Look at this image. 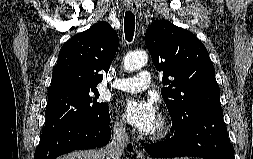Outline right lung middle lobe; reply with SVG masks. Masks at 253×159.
I'll use <instances>...</instances> for the list:
<instances>
[{
  "label": "right lung middle lobe",
  "mask_w": 253,
  "mask_h": 159,
  "mask_svg": "<svg viewBox=\"0 0 253 159\" xmlns=\"http://www.w3.org/2000/svg\"><path fill=\"white\" fill-rule=\"evenodd\" d=\"M98 98V90L48 98L41 138L76 122H105L109 117V108L107 103L99 102Z\"/></svg>",
  "instance_id": "1"
}]
</instances>
